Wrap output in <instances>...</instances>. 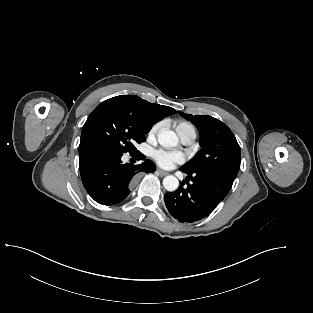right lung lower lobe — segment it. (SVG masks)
Returning a JSON list of instances; mask_svg holds the SVG:
<instances>
[{
	"label": "right lung lower lobe",
	"mask_w": 313,
	"mask_h": 313,
	"mask_svg": "<svg viewBox=\"0 0 313 313\" xmlns=\"http://www.w3.org/2000/svg\"><path fill=\"white\" fill-rule=\"evenodd\" d=\"M123 152L106 147H89L79 151V167L83 185L88 194L102 205H114L125 199L139 172H154L155 164L145 160L142 164H123ZM138 159L145 156L136 151Z\"/></svg>",
	"instance_id": "right-lung-lower-lobe-1"
}]
</instances>
